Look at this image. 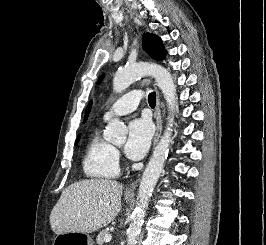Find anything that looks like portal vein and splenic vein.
<instances>
[{
    "mask_svg": "<svg viewBox=\"0 0 266 245\" xmlns=\"http://www.w3.org/2000/svg\"><path fill=\"white\" fill-rule=\"evenodd\" d=\"M111 239H112L111 235H106L104 241L105 243H110Z\"/></svg>",
    "mask_w": 266,
    "mask_h": 245,
    "instance_id": "18ae733b",
    "label": "portal vein and splenic vein"
}]
</instances>
